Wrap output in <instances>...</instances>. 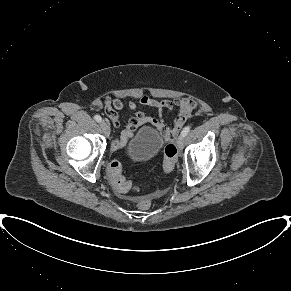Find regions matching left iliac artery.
<instances>
[{"mask_svg":"<svg viewBox=\"0 0 291 291\" xmlns=\"http://www.w3.org/2000/svg\"><path fill=\"white\" fill-rule=\"evenodd\" d=\"M189 131H190V126H187L182 130L181 135L185 137L189 133Z\"/></svg>","mask_w":291,"mask_h":291,"instance_id":"left-iliac-artery-1","label":"left iliac artery"}]
</instances>
